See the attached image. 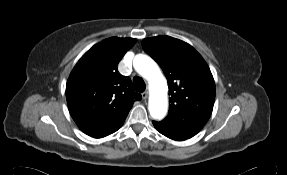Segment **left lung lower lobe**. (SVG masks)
Wrapping results in <instances>:
<instances>
[{
    "instance_id": "1",
    "label": "left lung lower lobe",
    "mask_w": 287,
    "mask_h": 175,
    "mask_svg": "<svg viewBox=\"0 0 287 175\" xmlns=\"http://www.w3.org/2000/svg\"><path fill=\"white\" fill-rule=\"evenodd\" d=\"M153 125L155 127V129L157 131H159L161 134H163L164 136L176 140V141H183L186 140L185 137L169 130L168 128L164 127L163 125H161L159 122H153Z\"/></svg>"
}]
</instances>
